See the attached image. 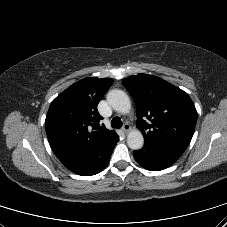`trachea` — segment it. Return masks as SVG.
Here are the masks:
<instances>
[{
	"mask_svg": "<svg viewBox=\"0 0 227 227\" xmlns=\"http://www.w3.org/2000/svg\"><path fill=\"white\" fill-rule=\"evenodd\" d=\"M122 121L119 117H114L111 121V126L113 128H121L122 127Z\"/></svg>",
	"mask_w": 227,
	"mask_h": 227,
	"instance_id": "trachea-1",
	"label": "trachea"
}]
</instances>
